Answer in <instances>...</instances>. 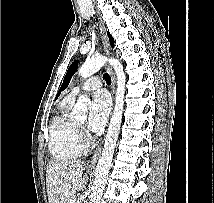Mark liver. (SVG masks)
Here are the masks:
<instances>
[{
  "label": "liver",
  "mask_w": 214,
  "mask_h": 203,
  "mask_svg": "<svg viewBox=\"0 0 214 203\" xmlns=\"http://www.w3.org/2000/svg\"><path fill=\"white\" fill-rule=\"evenodd\" d=\"M85 163L80 160L69 162L51 161L47 164L46 189L49 203H66L76 191L87 185L83 176Z\"/></svg>",
  "instance_id": "1"
}]
</instances>
